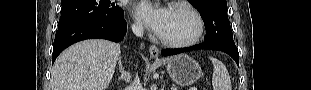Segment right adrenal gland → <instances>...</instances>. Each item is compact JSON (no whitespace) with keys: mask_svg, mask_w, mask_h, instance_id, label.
Returning a JSON list of instances; mask_svg holds the SVG:
<instances>
[{"mask_svg":"<svg viewBox=\"0 0 311 90\" xmlns=\"http://www.w3.org/2000/svg\"><path fill=\"white\" fill-rule=\"evenodd\" d=\"M119 69L121 72V75L119 76V80H123V81H129L130 79V73L124 70V67L122 65L121 60L119 59Z\"/></svg>","mask_w":311,"mask_h":90,"instance_id":"obj_1","label":"right adrenal gland"}]
</instances>
